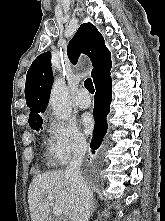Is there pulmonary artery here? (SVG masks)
Instances as JSON below:
<instances>
[{"instance_id": "pulmonary-artery-1", "label": "pulmonary artery", "mask_w": 165, "mask_h": 221, "mask_svg": "<svg viewBox=\"0 0 165 221\" xmlns=\"http://www.w3.org/2000/svg\"><path fill=\"white\" fill-rule=\"evenodd\" d=\"M75 103L81 109H86L91 105V98L85 89L79 90Z\"/></svg>"}]
</instances>
